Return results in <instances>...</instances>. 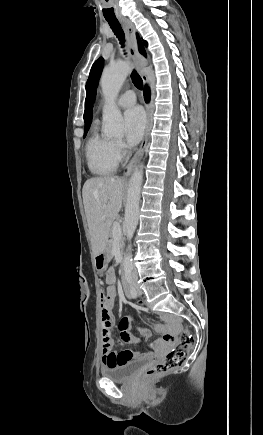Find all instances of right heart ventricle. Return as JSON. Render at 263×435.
Segmentation results:
<instances>
[{
	"label": "right heart ventricle",
	"instance_id": "obj_1",
	"mask_svg": "<svg viewBox=\"0 0 263 435\" xmlns=\"http://www.w3.org/2000/svg\"><path fill=\"white\" fill-rule=\"evenodd\" d=\"M86 160L90 172L97 176L111 175L118 166L114 141L100 133L98 122L93 124L86 144Z\"/></svg>",
	"mask_w": 263,
	"mask_h": 435
}]
</instances>
